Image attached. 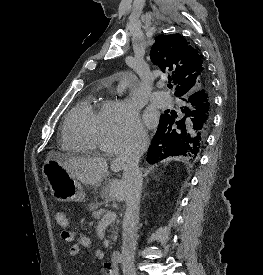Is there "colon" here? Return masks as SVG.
Instances as JSON below:
<instances>
[{"label":"colon","instance_id":"1","mask_svg":"<svg viewBox=\"0 0 263 275\" xmlns=\"http://www.w3.org/2000/svg\"><path fill=\"white\" fill-rule=\"evenodd\" d=\"M55 219H56L57 224H58L60 227H62V228L68 227V225H69V219H68L67 214H66L64 211L59 210V211L56 213V215H55ZM62 234H63V237H64L65 239H69L70 235H69V233H68L67 230H64V231L62 232Z\"/></svg>","mask_w":263,"mask_h":275}]
</instances>
